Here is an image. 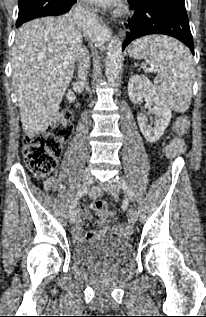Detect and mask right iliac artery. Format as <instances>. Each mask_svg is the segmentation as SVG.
I'll return each instance as SVG.
<instances>
[{
    "label": "right iliac artery",
    "instance_id": "right-iliac-artery-1",
    "mask_svg": "<svg viewBox=\"0 0 206 317\" xmlns=\"http://www.w3.org/2000/svg\"><path fill=\"white\" fill-rule=\"evenodd\" d=\"M87 193V187H82L79 189V191L76 194V197L74 199V201L72 202L71 206H70V214L73 215L76 209V205H77V201L82 198L85 194Z\"/></svg>",
    "mask_w": 206,
    "mask_h": 317
}]
</instances>
